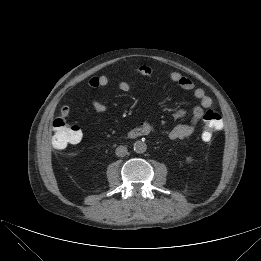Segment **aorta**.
<instances>
[{"label":"aorta","instance_id":"1","mask_svg":"<svg viewBox=\"0 0 261 261\" xmlns=\"http://www.w3.org/2000/svg\"><path fill=\"white\" fill-rule=\"evenodd\" d=\"M134 151L138 154H142L144 152H146L147 149V145L146 143L142 142V141H136L134 143Z\"/></svg>","mask_w":261,"mask_h":261}]
</instances>
